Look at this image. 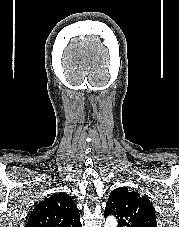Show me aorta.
<instances>
[{
  "label": "aorta",
  "instance_id": "obj_1",
  "mask_svg": "<svg viewBox=\"0 0 179 227\" xmlns=\"http://www.w3.org/2000/svg\"><path fill=\"white\" fill-rule=\"evenodd\" d=\"M104 227H117V220L115 217L111 216L107 218Z\"/></svg>",
  "mask_w": 179,
  "mask_h": 227
}]
</instances>
